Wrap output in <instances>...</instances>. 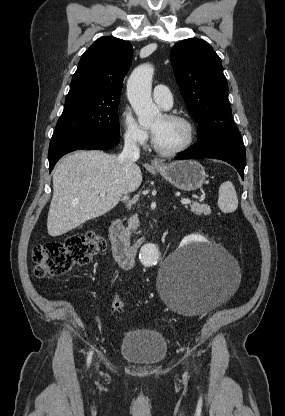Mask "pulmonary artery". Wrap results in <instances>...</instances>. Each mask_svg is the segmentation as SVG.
Listing matches in <instances>:
<instances>
[{
	"label": "pulmonary artery",
	"mask_w": 285,
	"mask_h": 416,
	"mask_svg": "<svg viewBox=\"0 0 285 416\" xmlns=\"http://www.w3.org/2000/svg\"><path fill=\"white\" fill-rule=\"evenodd\" d=\"M153 95L164 109L171 107L172 101L174 100L171 87L159 84L155 87Z\"/></svg>",
	"instance_id": "obj_1"
}]
</instances>
